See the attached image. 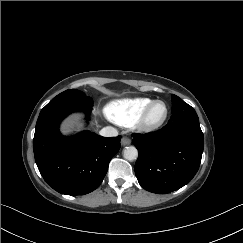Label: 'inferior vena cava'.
Listing matches in <instances>:
<instances>
[{
    "label": "inferior vena cava",
    "instance_id": "1",
    "mask_svg": "<svg viewBox=\"0 0 243 243\" xmlns=\"http://www.w3.org/2000/svg\"><path fill=\"white\" fill-rule=\"evenodd\" d=\"M99 134L104 137H115L118 136V131L114 127L108 126L102 128Z\"/></svg>",
    "mask_w": 243,
    "mask_h": 243
}]
</instances>
